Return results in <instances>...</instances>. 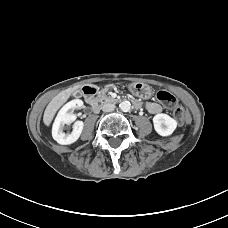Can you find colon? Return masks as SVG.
Returning a JSON list of instances; mask_svg holds the SVG:
<instances>
[{
    "mask_svg": "<svg viewBox=\"0 0 228 228\" xmlns=\"http://www.w3.org/2000/svg\"><path fill=\"white\" fill-rule=\"evenodd\" d=\"M156 97L161 103L169 107H175L177 105L176 98L168 91L161 90L157 93ZM174 117L178 122L184 123L189 118V114L183 107L178 106L174 109Z\"/></svg>",
    "mask_w": 228,
    "mask_h": 228,
    "instance_id": "1",
    "label": "colon"
}]
</instances>
